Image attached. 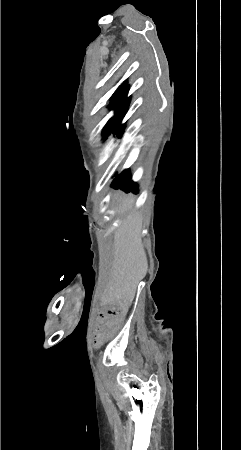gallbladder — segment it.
Here are the masks:
<instances>
[{
  "label": "gallbladder",
  "instance_id": "gallbladder-1",
  "mask_svg": "<svg viewBox=\"0 0 241 450\" xmlns=\"http://www.w3.org/2000/svg\"><path fill=\"white\" fill-rule=\"evenodd\" d=\"M101 307H102L104 310H107V309L110 307V304H109L107 301H104V302L101 304Z\"/></svg>",
  "mask_w": 241,
  "mask_h": 450
}]
</instances>
